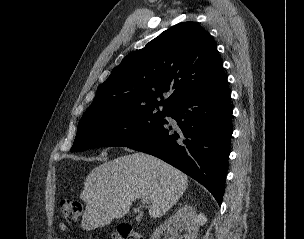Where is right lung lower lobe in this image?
I'll use <instances>...</instances> for the list:
<instances>
[{
    "instance_id": "obj_1",
    "label": "right lung lower lobe",
    "mask_w": 304,
    "mask_h": 239,
    "mask_svg": "<svg viewBox=\"0 0 304 239\" xmlns=\"http://www.w3.org/2000/svg\"><path fill=\"white\" fill-rule=\"evenodd\" d=\"M232 107L222 73L206 87L172 102L150 134L128 148L156 156L206 187L219 205L224 195L232 135Z\"/></svg>"
}]
</instances>
